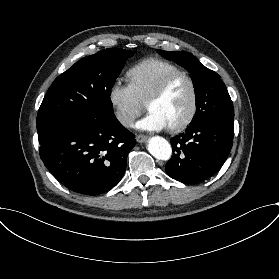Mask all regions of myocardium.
Wrapping results in <instances>:
<instances>
[{
	"mask_svg": "<svg viewBox=\"0 0 279 279\" xmlns=\"http://www.w3.org/2000/svg\"><path fill=\"white\" fill-rule=\"evenodd\" d=\"M180 79H186L192 89V102L190 110L185 117V119L176 125L168 126L169 131L173 133L181 132L189 127V125L193 122L199 105V90L196 81L194 78L187 72H178L168 76L156 89L155 91L148 97L146 105L149 110L152 103L162 98L169 89Z\"/></svg>",
	"mask_w": 279,
	"mask_h": 279,
	"instance_id": "1",
	"label": "myocardium"
}]
</instances>
